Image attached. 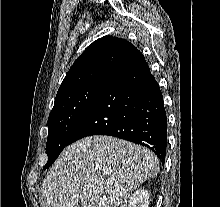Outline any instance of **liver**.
I'll use <instances>...</instances> for the list:
<instances>
[{
  "instance_id": "1",
  "label": "liver",
  "mask_w": 220,
  "mask_h": 207,
  "mask_svg": "<svg viewBox=\"0 0 220 207\" xmlns=\"http://www.w3.org/2000/svg\"><path fill=\"white\" fill-rule=\"evenodd\" d=\"M158 172L159 159L146 147L86 137L63 150L48 171L45 207H126L132 191Z\"/></svg>"
}]
</instances>
